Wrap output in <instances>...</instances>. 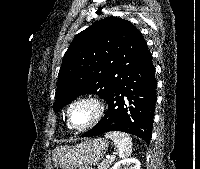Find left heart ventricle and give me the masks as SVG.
Returning <instances> with one entry per match:
<instances>
[{
  "label": "left heart ventricle",
  "mask_w": 200,
  "mask_h": 169,
  "mask_svg": "<svg viewBox=\"0 0 200 169\" xmlns=\"http://www.w3.org/2000/svg\"><path fill=\"white\" fill-rule=\"evenodd\" d=\"M94 115V108L89 104H79L71 111V119L75 126L81 127L91 121Z\"/></svg>",
  "instance_id": "obj_1"
}]
</instances>
